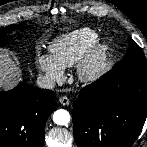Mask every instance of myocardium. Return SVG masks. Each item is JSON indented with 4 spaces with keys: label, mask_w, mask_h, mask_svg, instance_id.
Listing matches in <instances>:
<instances>
[{
    "label": "myocardium",
    "mask_w": 147,
    "mask_h": 147,
    "mask_svg": "<svg viewBox=\"0 0 147 147\" xmlns=\"http://www.w3.org/2000/svg\"><path fill=\"white\" fill-rule=\"evenodd\" d=\"M111 46L108 42L97 40L78 62L77 75L80 81L91 83L100 78L110 62Z\"/></svg>",
    "instance_id": "obj_1"
}]
</instances>
